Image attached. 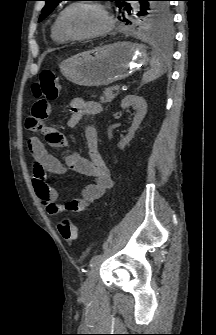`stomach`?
<instances>
[{
	"mask_svg": "<svg viewBox=\"0 0 216 335\" xmlns=\"http://www.w3.org/2000/svg\"><path fill=\"white\" fill-rule=\"evenodd\" d=\"M148 61L142 46L123 41L74 55L60 64V70L74 84L99 87L127 78Z\"/></svg>",
	"mask_w": 216,
	"mask_h": 335,
	"instance_id": "1",
	"label": "stomach"
}]
</instances>
